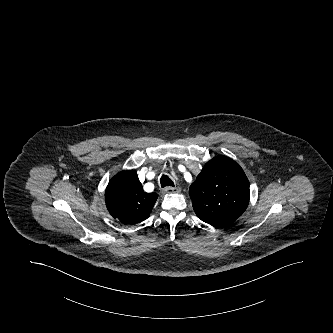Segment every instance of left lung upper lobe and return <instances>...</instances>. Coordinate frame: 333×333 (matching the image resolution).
I'll list each match as a JSON object with an SVG mask.
<instances>
[{"instance_id":"obj_1","label":"left lung upper lobe","mask_w":333,"mask_h":333,"mask_svg":"<svg viewBox=\"0 0 333 333\" xmlns=\"http://www.w3.org/2000/svg\"><path fill=\"white\" fill-rule=\"evenodd\" d=\"M194 212L202 221L221 227L235 221L249 204V181L232 159L208 161L189 189Z\"/></svg>"}]
</instances>
